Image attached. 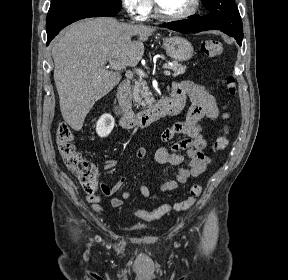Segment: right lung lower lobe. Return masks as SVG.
I'll return each instance as SVG.
<instances>
[{
	"instance_id": "98d812e1",
	"label": "right lung lower lobe",
	"mask_w": 288,
	"mask_h": 280,
	"mask_svg": "<svg viewBox=\"0 0 288 280\" xmlns=\"http://www.w3.org/2000/svg\"><path fill=\"white\" fill-rule=\"evenodd\" d=\"M119 11L95 0H73L50 8L46 18L47 44L72 22L87 17H111Z\"/></svg>"
}]
</instances>
